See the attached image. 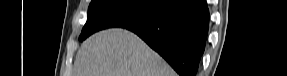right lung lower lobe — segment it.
Returning a JSON list of instances; mask_svg holds the SVG:
<instances>
[{
	"label": "right lung lower lobe",
	"mask_w": 287,
	"mask_h": 76,
	"mask_svg": "<svg viewBox=\"0 0 287 76\" xmlns=\"http://www.w3.org/2000/svg\"><path fill=\"white\" fill-rule=\"evenodd\" d=\"M208 26L206 0H168L153 18L127 29L159 53L180 76H195Z\"/></svg>",
	"instance_id": "98d812e1"
}]
</instances>
